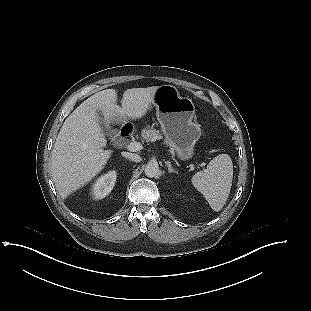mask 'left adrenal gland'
Returning <instances> with one entry per match:
<instances>
[{"instance_id": "1", "label": "left adrenal gland", "mask_w": 311, "mask_h": 311, "mask_svg": "<svg viewBox=\"0 0 311 311\" xmlns=\"http://www.w3.org/2000/svg\"><path fill=\"white\" fill-rule=\"evenodd\" d=\"M167 167H168V172L169 173H177V171H175V169L172 167L171 163L169 161L165 162Z\"/></svg>"}]
</instances>
